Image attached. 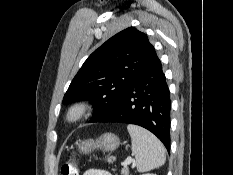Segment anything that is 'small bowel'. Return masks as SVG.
<instances>
[{"label":"small bowel","mask_w":233,"mask_h":175,"mask_svg":"<svg viewBox=\"0 0 233 175\" xmlns=\"http://www.w3.org/2000/svg\"><path fill=\"white\" fill-rule=\"evenodd\" d=\"M84 175H112L108 171L101 170V169H88Z\"/></svg>","instance_id":"small-bowel-1"}]
</instances>
